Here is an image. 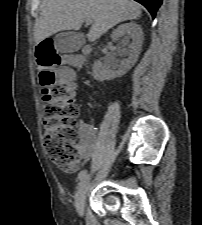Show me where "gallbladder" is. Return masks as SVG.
Returning a JSON list of instances; mask_svg holds the SVG:
<instances>
[{
    "label": "gallbladder",
    "instance_id": "1",
    "mask_svg": "<svg viewBox=\"0 0 202 225\" xmlns=\"http://www.w3.org/2000/svg\"><path fill=\"white\" fill-rule=\"evenodd\" d=\"M85 40L83 35L74 31H65L54 38V47L58 53H74L81 49Z\"/></svg>",
    "mask_w": 202,
    "mask_h": 225
}]
</instances>
